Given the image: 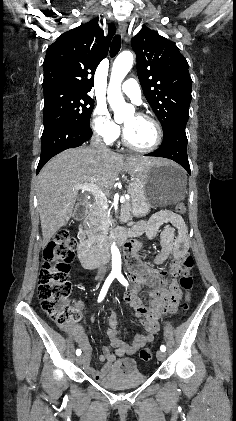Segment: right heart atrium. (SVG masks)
<instances>
[{
    "mask_svg": "<svg viewBox=\"0 0 236 421\" xmlns=\"http://www.w3.org/2000/svg\"><path fill=\"white\" fill-rule=\"evenodd\" d=\"M91 127L96 137L105 143L115 141L120 134L119 126L112 120L106 106L100 103L92 111Z\"/></svg>",
    "mask_w": 236,
    "mask_h": 421,
    "instance_id": "right-heart-atrium-1",
    "label": "right heart atrium"
}]
</instances>
